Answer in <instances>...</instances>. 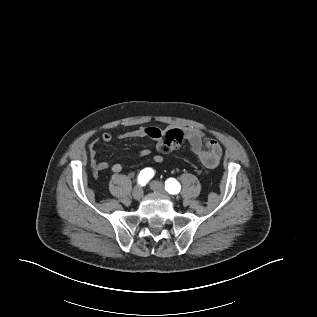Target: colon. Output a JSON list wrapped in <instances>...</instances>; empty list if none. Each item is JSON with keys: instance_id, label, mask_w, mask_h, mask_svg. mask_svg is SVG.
Returning a JSON list of instances; mask_svg holds the SVG:
<instances>
[{"instance_id": "5ec220e1", "label": "colon", "mask_w": 317, "mask_h": 317, "mask_svg": "<svg viewBox=\"0 0 317 317\" xmlns=\"http://www.w3.org/2000/svg\"><path fill=\"white\" fill-rule=\"evenodd\" d=\"M185 141V134L181 129H170L163 133L162 147L163 153H169L179 149Z\"/></svg>"}]
</instances>
